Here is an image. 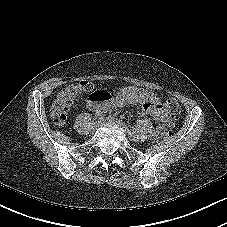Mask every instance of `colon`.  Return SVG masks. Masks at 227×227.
Listing matches in <instances>:
<instances>
[{
  "label": "colon",
  "instance_id": "obj_1",
  "mask_svg": "<svg viewBox=\"0 0 227 227\" xmlns=\"http://www.w3.org/2000/svg\"><path fill=\"white\" fill-rule=\"evenodd\" d=\"M94 87L95 85L92 82L80 81L63 88L58 93L50 109V116L53 122L57 125L65 124L68 110L73 100L81 94L93 91ZM92 96L100 101L110 99V95L106 92L94 93ZM164 110L168 119L172 121L180 111L178 101L175 98H167L164 102ZM167 126L168 124H161L156 128L155 137L157 139H164L169 136L170 132Z\"/></svg>",
  "mask_w": 227,
  "mask_h": 227
}]
</instances>
